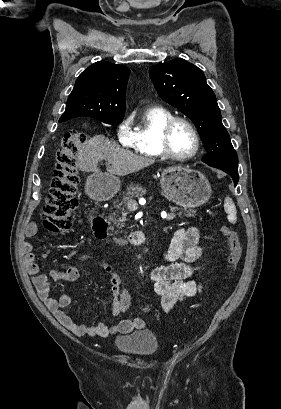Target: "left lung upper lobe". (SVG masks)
Segmentation results:
<instances>
[{
    "label": "left lung upper lobe",
    "instance_id": "obj_1",
    "mask_svg": "<svg viewBox=\"0 0 281 409\" xmlns=\"http://www.w3.org/2000/svg\"><path fill=\"white\" fill-rule=\"evenodd\" d=\"M149 73L160 97L188 116L197 127L207 150L202 161L208 165H237L236 151L202 70L178 58L153 65Z\"/></svg>",
    "mask_w": 281,
    "mask_h": 409
}]
</instances>
